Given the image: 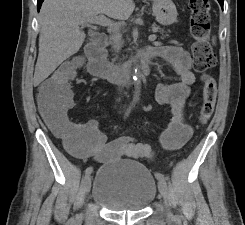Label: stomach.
I'll list each match as a JSON object with an SVG mask.
<instances>
[{
	"mask_svg": "<svg viewBox=\"0 0 245 225\" xmlns=\"http://www.w3.org/2000/svg\"><path fill=\"white\" fill-rule=\"evenodd\" d=\"M152 9L156 21L163 26L177 21V9L172 0H153Z\"/></svg>",
	"mask_w": 245,
	"mask_h": 225,
	"instance_id": "obj_1",
	"label": "stomach"
}]
</instances>
